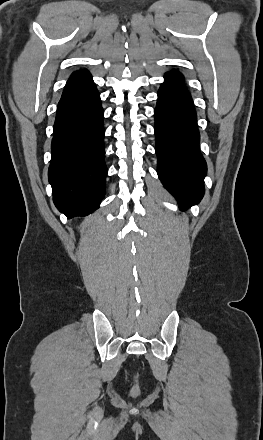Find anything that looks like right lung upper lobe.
Segmentation results:
<instances>
[{
  "label": "right lung upper lobe",
  "instance_id": "obj_1",
  "mask_svg": "<svg viewBox=\"0 0 263 440\" xmlns=\"http://www.w3.org/2000/svg\"><path fill=\"white\" fill-rule=\"evenodd\" d=\"M82 71H83V70H82ZM79 72H80V71H79ZM76 73H78V72H74L73 74H76ZM73 74H72V75H73Z\"/></svg>",
  "mask_w": 263,
  "mask_h": 440
}]
</instances>
